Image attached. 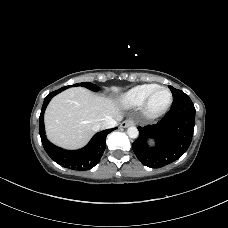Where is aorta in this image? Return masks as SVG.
Returning a JSON list of instances; mask_svg holds the SVG:
<instances>
[{
  "label": "aorta",
  "mask_w": 228,
  "mask_h": 228,
  "mask_svg": "<svg viewBox=\"0 0 228 228\" xmlns=\"http://www.w3.org/2000/svg\"><path fill=\"white\" fill-rule=\"evenodd\" d=\"M127 134L130 138L135 139L139 135V131L136 127L131 126L127 129Z\"/></svg>",
  "instance_id": "aorta-1"
}]
</instances>
